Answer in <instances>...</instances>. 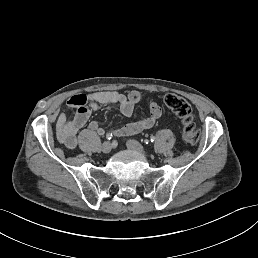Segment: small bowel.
I'll use <instances>...</instances> for the list:
<instances>
[{
  "label": "small bowel",
  "mask_w": 258,
  "mask_h": 258,
  "mask_svg": "<svg viewBox=\"0 0 258 258\" xmlns=\"http://www.w3.org/2000/svg\"><path fill=\"white\" fill-rule=\"evenodd\" d=\"M141 100L138 91L132 90L127 94L117 91H97L87 94H76L67 100V106L75 109L72 119L68 118L66 112H61L56 121V133L60 143L69 149H74L78 143V133L87 124V131L97 135H103L105 129L96 120L89 121L92 111L106 105H116L126 117L134 113L135 104ZM150 114L130 122L120 128L113 129L116 136H130L137 134L155 125L162 115V109L154 100L149 101Z\"/></svg>",
  "instance_id": "obj_1"
}]
</instances>
